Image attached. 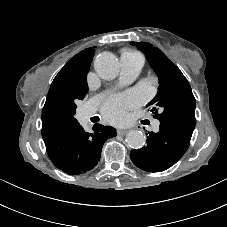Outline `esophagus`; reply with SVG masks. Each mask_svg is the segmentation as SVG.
I'll list each match as a JSON object with an SVG mask.
<instances>
[{
  "label": "esophagus",
  "mask_w": 227,
  "mask_h": 227,
  "mask_svg": "<svg viewBox=\"0 0 227 227\" xmlns=\"http://www.w3.org/2000/svg\"><path fill=\"white\" fill-rule=\"evenodd\" d=\"M127 132H128L127 129H118L117 130V134L120 135V136L125 135Z\"/></svg>",
  "instance_id": "1"
}]
</instances>
